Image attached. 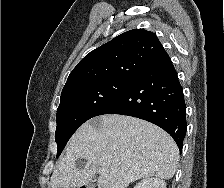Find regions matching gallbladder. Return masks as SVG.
<instances>
[{"instance_id": "obj_1", "label": "gallbladder", "mask_w": 224, "mask_h": 188, "mask_svg": "<svg viewBox=\"0 0 224 188\" xmlns=\"http://www.w3.org/2000/svg\"><path fill=\"white\" fill-rule=\"evenodd\" d=\"M86 187L87 188H96V184H95V182H88Z\"/></svg>"}]
</instances>
